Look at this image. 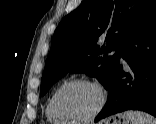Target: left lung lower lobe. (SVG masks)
<instances>
[{
  "label": "left lung lower lobe",
  "mask_w": 156,
  "mask_h": 124,
  "mask_svg": "<svg viewBox=\"0 0 156 124\" xmlns=\"http://www.w3.org/2000/svg\"><path fill=\"white\" fill-rule=\"evenodd\" d=\"M120 57L131 71L120 64L108 90V100L95 122L125 110H142L156 117V0L122 48Z\"/></svg>",
  "instance_id": "0a47b994"
}]
</instances>
